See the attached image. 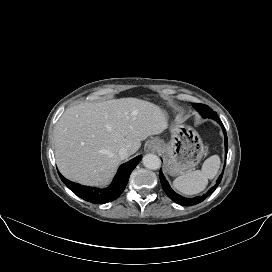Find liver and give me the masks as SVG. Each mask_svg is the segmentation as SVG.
I'll list each match as a JSON object with an SVG mask.
<instances>
[{"mask_svg": "<svg viewBox=\"0 0 272 272\" xmlns=\"http://www.w3.org/2000/svg\"><path fill=\"white\" fill-rule=\"evenodd\" d=\"M167 123L159 106L137 98L70 107L54 129L57 166L71 181L104 185L121 162L120 148L136 153L141 141L162 134Z\"/></svg>", "mask_w": 272, "mask_h": 272, "instance_id": "obj_1", "label": "liver"}]
</instances>
